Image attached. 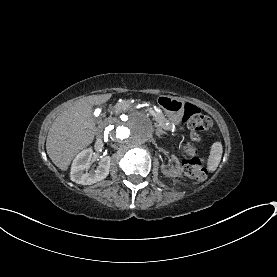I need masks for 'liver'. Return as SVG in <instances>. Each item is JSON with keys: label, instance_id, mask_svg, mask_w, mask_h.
<instances>
[{"label": "liver", "instance_id": "obj_1", "mask_svg": "<svg viewBox=\"0 0 277 277\" xmlns=\"http://www.w3.org/2000/svg\"><path fill=\"white\" fill-rule=\"evenodd\" d=\"M111 96V93L88 96L55 119L47 135L46 150L59 169L67 170L74 156L93 142L97 129L92 107L107 102Z\"/></svg>", "mask_w": 277, "mask_h": 277}]
</instances>
